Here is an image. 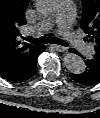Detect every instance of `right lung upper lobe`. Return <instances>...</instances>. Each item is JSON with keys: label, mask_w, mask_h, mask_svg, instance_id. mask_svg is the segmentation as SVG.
Wrapping results in <instances>:
<instances>
[{"label": "right lung upper lobe", "mask_w": 100, "mask_h": 118, "mask_svg": "<svg viewBox=\"0 0 100 118\" xmlns=\"http://www.w3.org/2000/svg\"><path fill=\"white\" fill-rule=\"evenodd\" d=\"M28 0H0V71L18 65L35 45L20 42Z\"/></svg>", "instance_id": "right-lung-upper-lobe-1"}]
</instances>
